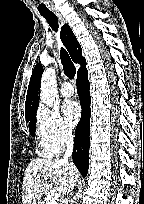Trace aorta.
I'll return each instance as SVG.
<instances>
[{
	"instance_id": "1",
	"label": "aorta",
	"mask_w": 144,
	"mask_h": 204,
	"mask_svg": "<svg viewBox=\"0 0 144 204\" xmlns=\"http://www.w3.org/2000/svg\"><path fill=\"white\" fill-rule=\"evenodd\" d=\"M56 75L53 68H47L41 78L40 100L43 104L51 107L57 95Z\"/></svg>"
}]
</instances>
